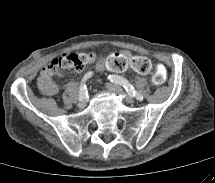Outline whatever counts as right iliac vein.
<instances>
[{"mask_svg": "<svg viewBox=\"0 0 215 183\" xmlns=\"http://www.w3.org/2000/svg\"><path fill=\"white\" fill-rule=\"evenodd\" d=\"M78 106L79 108H84L86 106L85 98L79 101Z\"/></svg>", "mask_w": 215, "mask_h": 183, "instance_id": "63e3f726", "label": "right iliac vein"}]
</instances>
